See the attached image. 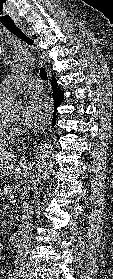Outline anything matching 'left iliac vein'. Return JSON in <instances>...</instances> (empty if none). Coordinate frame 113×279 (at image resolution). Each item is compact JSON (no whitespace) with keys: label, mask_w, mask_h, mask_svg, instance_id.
Instances as JSON below:
<instances>
[{"label":"left iliac vein","mask_w":113,"mask_h":279,"mask_svg":"<svg viewBox=\"0 0 113 279\" xmlns=\"http://www.w3.org/2000/svg\"><path fill=\"white\" fill-rule=\"evenodd\" d=\"M23 279H33L31 272L26 273L25 276H23Z\"/></svg>","instance_id":"1"}]
</instances>
